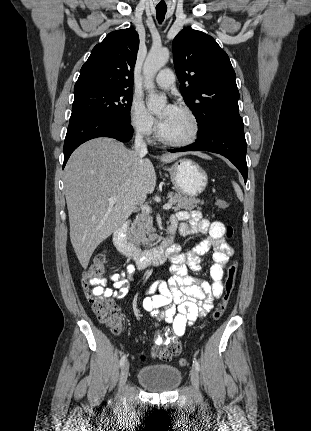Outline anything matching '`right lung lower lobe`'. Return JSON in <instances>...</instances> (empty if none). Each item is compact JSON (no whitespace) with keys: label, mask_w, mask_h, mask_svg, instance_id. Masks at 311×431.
Listing matches in <instances>:
<instances>
[{"label":"right lung lower lobe","mask_w":311,"mask_h":431,"mask_svg":"<svg viewBox=\"0 0 311 431\" xmlns=\"http://www.w3.org/2000/svg\"><path fill=\"white\" fill-rule=\"evenodd\" d=\"M133 128L130 120L122 121L112 117L89 115L69 122L64 142V164L71 153L82 143L97 137H111L121 142L131 140Z\"/></svg>","instance_id":"1"}]
</instances>
